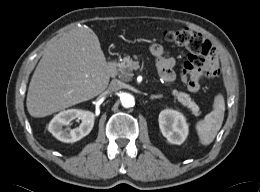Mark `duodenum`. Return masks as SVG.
Masks as SVG:
<instances>
[{
	"instance_id": "410a0bca",
	"label": "duodenum",
	"mask_w": 260,
	"mask_h": 192,
	"mask_svg": "<svg viewBox=\"0 0 260 192\" xmlns=\"http://www.w3.org/2000/svg\"><path fill=\"white\" fill-rule=\"evenodd\" d=\"M108 73L112 76V75H114L115 74V72H116V63H115V61H110L109 63H108Z\"/></svg>"
}]
</instances>
